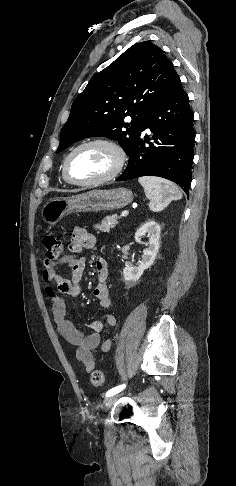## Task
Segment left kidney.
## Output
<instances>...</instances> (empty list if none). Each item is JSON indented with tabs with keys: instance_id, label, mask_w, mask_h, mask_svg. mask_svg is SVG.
I'll return each instance as SVG.
<instances>
[{
	"instance_id": "5707ae66",
	"label": "left kidney",
	"mask_w": 236,
	"mask_h": 486,
	"mask_svg": "<svg viewBox=\"0 0 236 486\" xmlns=\"http://www.w3.org/2000/svg\"><path fill=\"white\" fill-rule=\"evenodd\" d=\"M160 225L154 220H149L144 223L135 233L136 242L140 243L141 238L147 234L149 238V245L143 251L142 260L138 267H125L123 269V277L127 282H136L143 275L144 271L150 268L156 258L159 250L160 239Z\"/></svg>"
}]
</instances>
